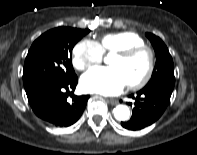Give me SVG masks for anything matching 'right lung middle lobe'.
Wrapping results in <instances>:
<instances>
[{
    "instance_id": "obj_1",
    "label": "right lung middle lobe",
    "mask_w": 197,
    "mask_h": 155,
    "mask_svg": "<svg viewBox=\"0 0 197 155\" xmlns=\"http://www.w3.org/2000/svg\"><path fill=\"white\" fill-rule=\"evenodd\" d=\"M89 29L58 27L37 38L25 59L23 83L28 99L75 76L72 49Z\"/></svg>"
}]
</instances>
